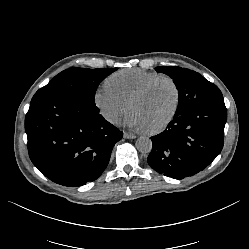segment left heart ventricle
Returning a JSON list of instances; mask_svg holds the SVG:
<instances>
[{
	"instance_id": "1",
	"label": "left heart ventricle",
	"mask_w": 249,
	"mask_h": 249,
	"mask_svg": "<svg viewBox=\"0 0 249 249\" xmlns=\"http://www.w3.org/2000/svg\"><path fill=\"white\" fill-rule=\"evenodd\" d=\"M175 103L176 94L172 84L168 81H161L143 97L133 102L130 110L136 111L147 130H150L169 117Z\"/></svg>"
}]
</instances>
